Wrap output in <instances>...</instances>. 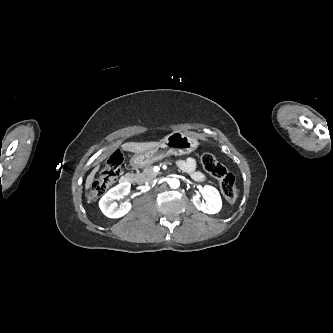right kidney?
<instances>
[{
  "label": "right kidney",
  "instance_id": "1",
  "mask_svg": "<svg viewBox=\"0 0 333 333\" xmlns=\"http://www.w3.org/2000/svg\"><path fill=\"white\" fill-rule=\"evenodd\" d=\"M131 184L122 182L119 185L111 188L99 201L101 211L109 218H119L129 212L132 205L129 202H124L118 206L114 200L126 196L130 192Z\"/></svg>",
  "mask_w": 333,
  "mask_h": 333
}]
</instances>
